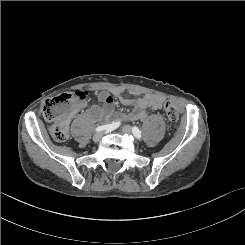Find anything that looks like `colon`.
I'll return each mask as SVG.
<instances>
[{
  "label": "colon",
  "mask_w": 245,
  "mask_h": 245,
  "mask_svg": "<svg viewBox=\"0 0 245 245\" xmlns=\"http://www.w3.org/2000/svg\"><path fill=\"white\" fill-rule=\"evenodd\" d=\"M88 94L84 91L63 93L52 97L43 105V116L50 125V134L57 142H64L69 137V119L75 109L85 102ZM167 118L172 123H176L179 118L177 107L170 101L164 104Z\"/></svg>",
  "instance_id": "colon-1"
}]
</instances>
